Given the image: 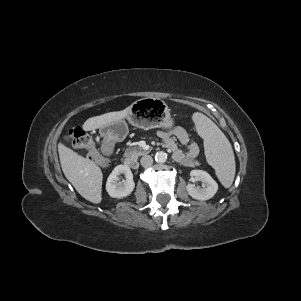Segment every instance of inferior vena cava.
<instances>
[{"label": "inferior vena cava", "mask_w": 301, "mask_h": 301, "mask_svg": "<svg viewBox=\"0 0 301 301\" xmlns=\"http://www.w3.org/2000/svg\"><path fill=\"white\" fill-rule=\"evenodd\" d=\"M140 162L143 167L147 168L153 164V158L149 155H145L141 158Z\"/></svg>", "instance_id": "inferior-vena-cava-1"}]
</instances>
